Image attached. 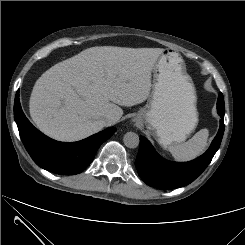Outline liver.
<instances>
[{
	"label": "liver",
	"instance_id": "obj_1",
	"mask_svg": "<svg viewBox=\"0 0 245 245\" xmlns=\"http://www.w3.org/2000/svg\"><path fill=\"white\" fill-rule=\"evenodd\" d=\"M164 49L91 47L59 62L36 81L29 101L37 128L73 142L101 131L105 116L123 115L120 106L144 102L151 71Z\"/></svg>",
	"mask_w": 245,
	"mask_h": 245
}]
</instances>
